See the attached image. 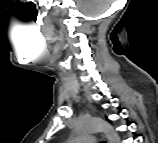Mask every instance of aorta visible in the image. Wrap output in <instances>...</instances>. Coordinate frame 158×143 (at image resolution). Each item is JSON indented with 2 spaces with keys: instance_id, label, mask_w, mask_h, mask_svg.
<instances>
[{
  "instance_id": "obj_1",
  "label": "aorta",
  "mask_w": 158,
  "mask_h": 143,
  "mask_svg": "<svg viewBox=\"0 0 158 143\" xmlns=\"http://www.w3.org/2000/svg\"><path fill=\"white\" fill-rule=\"evenodd\" d=\"M78 134L103 132L109 143H120V137L113 127L100 118L84 119L76 125Z\"/></svg>"
}]
</instances>
